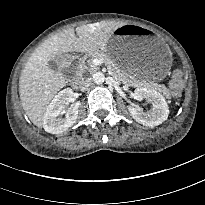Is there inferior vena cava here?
<instances>
[{
    "mask_svg": "<svg viewBox=\"0 0 205 205\" xmlns=\"http://www.w3.org/2000/svg\"><path fill=\"white\" fill-rule=\"evenodd\" d=\"M92 85V79L87 78L82 82V90H87Z\"/></svg>",
    "mask_w": 205,
    "mask_h": 205,
    "instance_id": "602c4592",
    "label": "inferior vena cava"
}]
</instances>
